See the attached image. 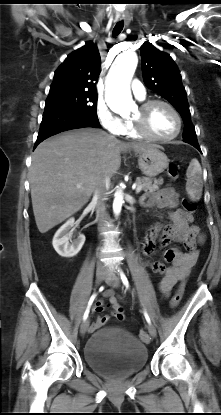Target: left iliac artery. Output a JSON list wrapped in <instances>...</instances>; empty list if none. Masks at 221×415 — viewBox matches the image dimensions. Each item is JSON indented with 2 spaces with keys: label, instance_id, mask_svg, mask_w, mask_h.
Returning <instances> with one entry per match:
<instances>
[{
  "label": "left iliac artery",
  "instance_id": "1",
  "mask_svg": "<svg viewBox=\"0 0 221 415\" xmlns=\"http://www.w3.org/2000/svg\"><path fill=\"white\" fill-rule=\"evenodd\" d=\"M120 276H121V280H122L123 284L125 285V287L129 288L128 279L122 271L120 272ZM144 316H145L146 321L150 324L151 320H150V317H149V315L147 314L146 311H144Z\"/></svg>",
  "mask_w": 221,
  "mask_h": 415
}]
</instances>
